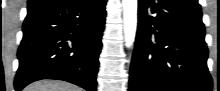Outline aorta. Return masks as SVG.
<instances>
[{"label":"aorta","instance_id":"762f6f07","mask_svg":"<svg viewBox=\"0 0 220 91\" xmlns=\"http://www.w3.org/2000/svg\"><path fill=\"white\" fill-rule=\"evenodd\" d=\"M123 20H124V37L126 47L130 48L136 36L137 30V0H122Z\"/></svg>","mask_w":220,"mask_h":91}]
</instances>
